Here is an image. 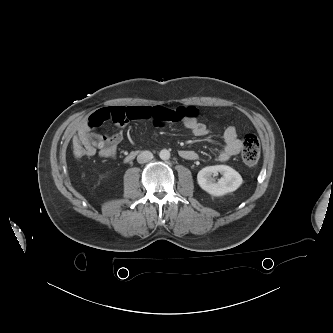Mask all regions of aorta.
<instances>
[{"mask_svg": "<svg viewBox=\"0 0 333 333\" xmlns=\"http://www.w3.org/2000/svg\"><path fill=\"white\" fill-rule=\"evenodd\" d=\"M159 157L162 160H168L170 158V152L167 149H162L159 153Z\"/></svg>", "mask_w": 333, "mask_h": 333, "instance_id": "1", "label": "aorta"}]
</instances>
